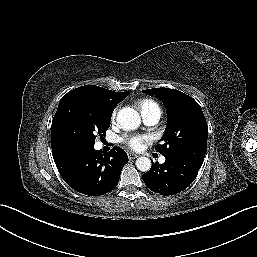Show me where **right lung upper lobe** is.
I'll use <instances>...</instances> for the list:
<instances>
[{
    "label": "right lung upper lobe",
    "mask_w": 257,
    "mask_h": 257,
    "mask_svg": "<svg viewBox=\"0 0 257 257\" xmlns=\"http://www.w3.org/2000/svg\"><path fill=\"white\" fill-rule=\"evenodd\" d=\"M76 89L99 94L104 98H106L115 107L117 103L121 102L129 94V92H114L95 85H85ZM54 130H55V127L52 126L51 132ZM52 149H55V148H52Z\"/></svg>",
    "instance_id": "right-lung-upper-lobe-1"
}]
</instances>
